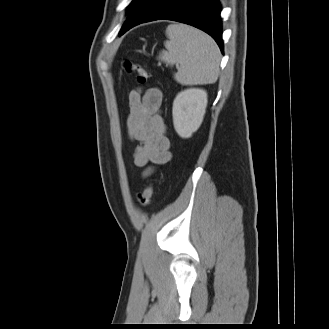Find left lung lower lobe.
I'll return each instance as SVG.
<instances>
[{"label": "left lung lower lobe", "instance_id": "1", "mask_svg": "<svg viewBox=\"0 0 329 329\" xmlns=\"http://www.w3.org/2000/svg\"><path fill=\"white\" fill-rule=\"evenodd\" d=\"M220 12L218 0H146L126 20L119 35L141 23L173 20L208 33L223 52Z\"/></svg>", "mask_w": 329, "mask_h": 329}]
</instances>
